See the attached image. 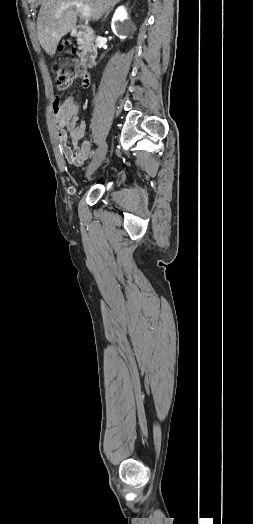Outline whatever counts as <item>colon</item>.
Segmentation results:
<instances>
[{
  "label": "colon",
  "instance_id": "5ec220e1",
  "mask_svg": "<svg viewBox=\"0 0 253 524\" xmlns=\"http://www.w3.org/2000/svg\"><path fill=\"white\" fill-rule=\"evenodd\" d=\"M51 71L57 80L58 89H65L74 80L83 88L90 84V77L83 70V62L78 60L77 53L74 50L69 51L63 60L54 62ZM57 104L58 102H56Z\"/></svg>",
  "mask_w": 253,
  "mask_h": 524
}]
</instances>
